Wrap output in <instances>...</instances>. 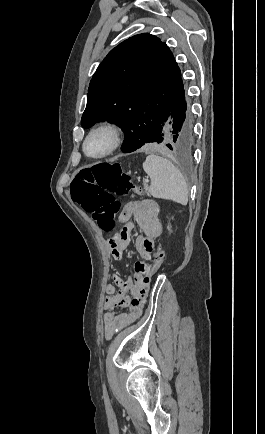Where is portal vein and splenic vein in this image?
Masks as SVG:
<instances>
[{"label":"portal vein and splenic vein","mask_w":265,"mask_h":434,"mask_svg":"<svg viewBox=\"0 0 265 434\" xmlns=\"http://www.w3.org/2000/svg\"><path fill=\"white\" fill-rule=\"evenodd\" d=\"M143 182H149V180H143Z\"/></svg>","instance_id":"1"}]
</instances>
